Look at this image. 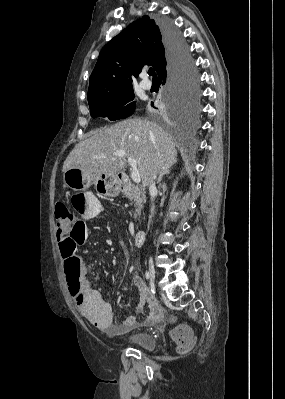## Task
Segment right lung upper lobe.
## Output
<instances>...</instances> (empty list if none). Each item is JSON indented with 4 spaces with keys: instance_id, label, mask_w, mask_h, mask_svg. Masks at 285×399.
<instances>
[{
    "instance_id": "right-lung-upper-lobe-1",
    "label": "right lung upper lobe",
    "mask_w": 285,
    "mask_h": 399,
    "mask_svg": "<svg viewBox=\"0 0 285 399\" xmlns=\"http://www.w3.org/2000/svg\"><path fill=\"white\" fill-rule=\"evenodd\" d=\"M144 65H152L157 74L166 65L160 26L149 16L131 23L103 47L89 79L88 100L133 89L132 78Z\"/></svg>"
}]
</instances>
